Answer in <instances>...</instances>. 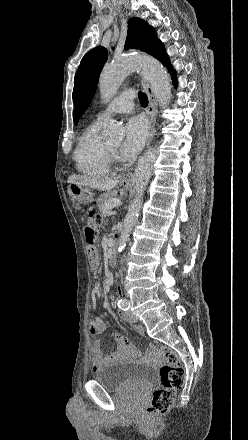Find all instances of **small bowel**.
<instances>
[{
    "label": "small bowel",
    "mask_w": 248,
    "mask_h": 440,
    "mask_svg": "<svg viewBox=\"0 0 248 440\" xmlns=\"http://www.w3.org/2000/svg\"><path fill=\"white\" fill-rule=\"evenodd\" d=\"M106 323L101 317H95L88 323V331L93 337L92 342V367L96 371L105 364L120 361L127 358L138 357V352L129 339L119 333L112 335L111 339L116 343V350L109 354H104L102 350L101 335L105 331ZM135 331L139 334L144 333L142 326H135ZM151 356V353H148Z\"/></svg>",
    "instance_id": "c3829d8e"
}]
</instances>
